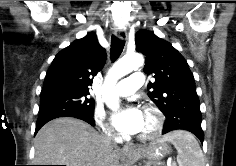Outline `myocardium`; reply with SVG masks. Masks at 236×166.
<instances>
[{
	"mask_svg": "<svg viewBox=\"0 0 236 166\" xmlns=\"http://www.w3.org/2000/svg\"><path fill=\"white\" fill-rule=\"evenodd\" d=\"M144 113L149 114L154 120V126L148 132L139 134L137 138L141 141H151L156 139L163 129L164 116L163 113L154 105L147 104L144 106Z\"/></svg>",
	"mask_w": 236,
	"mask_h": 166,
	"instance_id": "myocardium-1",
	"label": "myocardium"
}]
</instances>
